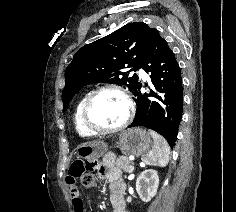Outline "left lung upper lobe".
I'll return each mask as SVG.
<instances>
[{
  "label": "left lung upper lobe",
  "mask_w": 236,
  "mask_h": 212,
  "mask_svg": "<svg viewBox=\"0 0 236 212\" xmlns=\"http://www.w3.org/2000/svg\"><path fill=\"white\" fill-rule=\"evenodd\" d=\"M152 30L142 22L129 23L79 49L65 72L63 111L72 97L88 84H123L133 92L139 85L138 76H130L125 69H139Z\"/></svg>",
  "instance_id": "left-lung-upper-lobe-1"
}]
</instances>
